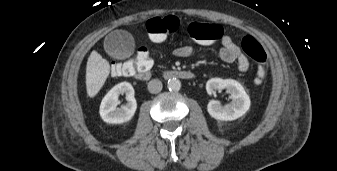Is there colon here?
Wrapping results in <instances>:
<instances>
[{
	"label": "colon",
	"mask_w": 337,
	"mask_h": 171,
	"mask_svg": "<svg viewBox=\"0 0 337 171\" xmlns=\"http://www.w3.org/2000/svg\"><path fill=\"white\" fill-rule=\"evenodd\" d=\"M149 37L154 41H162L175 33L179 28L176 16L153 17L146 24ZM223 29L218 24L193 22L188 27V35L204 45H211L222 37ZM243 51L256 65L257 84L263 83L266 76V53L262 45L251 35H246L241 41ZM151 59L146 48H138L128 60L114 63L110 72L114 76H130L140 69H149Z\"/></svg>",
	"instance_id": "colon-1"
}]
</instances>
